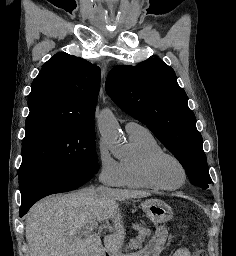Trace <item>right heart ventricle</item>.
Wrapping results in <instances>:
<instances>
[{"mask_svg": "<svg viewBox=\"0 0 236 256\" xmlns=\"http://www.w3.org/2000/svg\"><path fill=\"white\" fill-rule=\"evenodd\" d=\"M129 138L133 153L120 161L123 170V186L132 189H157L148 181L145 167L148 159L154 154L163 152V148L148 130L131 134Z\"/></svg>", "mask_w": 236, "mask_h": 256, "instance_id": "right-heart-ventricle-1", "label": "right heart ventricle"}]
</instances>
